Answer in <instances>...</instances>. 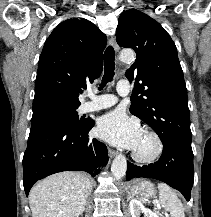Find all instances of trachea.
<instances>
[{
	"instance_id": "trachea-1",
	"label": "trachea",
	"mask_w": 211,
	"mask_h": 217,
	"mask_svg": "<svg viewBox=\"0 0 211 217\" xmlns=\"http://www.w3.org/2000/svg\"><path fill=\"white\" fill-rule=\"evenodd\" d=\"M115 69V52L112 46H108L104 52V76L102 83L100 84L99 90L110 81H112Z\"/></svg>"
}]
</instances>
